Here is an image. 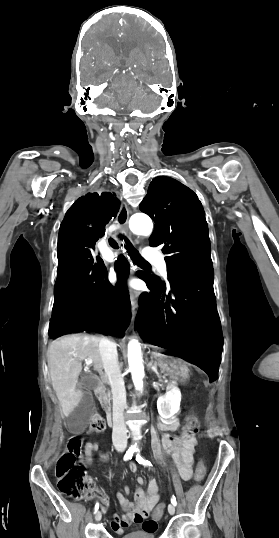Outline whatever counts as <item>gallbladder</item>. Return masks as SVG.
I'll use <instances>...</instances> for the list:
<instances>
[{
    "instance_id": "gallbladder-1",
    "label": "gallbladder",
    "mask_w": 279,
    "mask_h": 538,
    "mask_svg": "<svg viewBox=\"0 0 279 538\" xmlns=\"http://www.w3.org/2000/svg\"><path fill=\"white\" fill-rule=\"evenodd\" d=\"M102 379L100 376L86 374L82 372L80 376V386L78 390H90L91 387H100ZM82 404H78L76 408L69 413L70 431L72 433H81L83 428H87L89 418L92 414L91 410H95L97 403L88 392L82 393Z\"/></svg>"
}]
</instances>
